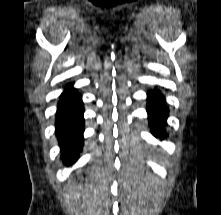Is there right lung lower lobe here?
<instances>
[{
	"label": "right lung lower lobe",
	"mask_w": 221,
	"mask_h": 215,
	"mask_svg": "<svg viewBox=\"0 0 221 215\" xmlns=\"http://www.w3.org/2000/svg\"><path fill=\"white\" fill-rule=\"evenodd\" d=\"M84 107L81 95L68 84L60 96L56 113V134L62 150V159L68 166L74 163L82 150Z\"/></svg>",
	"instance_id": "1"
}]
</instances>
